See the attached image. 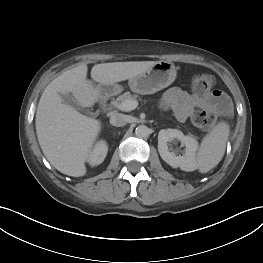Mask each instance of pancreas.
Instances as JSON below:
<instances>
[{"label":"pancreas","mask_w":263,"mask_h":263,"mask_svg":"<svg viewBox=\"0 0 263 263\" xmlns=\"http://www.w3.org/2000/svg\"><path fill=\"white\" fill-rule=\"evenodd\" d=\"M138 98V95L131 94L130 92H125L122 95L118 96L115 100L111 102V105L114 107H118L121 103H123L126 100H136Z\"/></svg>","instance_id":"cf45deb5"}]
</instances>
